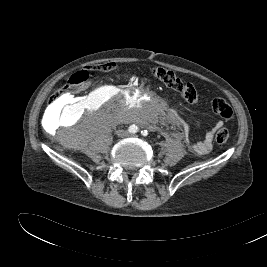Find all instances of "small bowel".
Returning <instances> with one entry per match:
<instances>
[{
	"label": "small bowel",
	"instance_id": "c3829d8e",
	"mask_svg": "<svg viewBox=\"0 0 267 267\" xmlns=\"http://www.w3.org/2000/svg\"><path fill=\"white\" fill-rule=\"evenodd\" d=\"M79 103H71L69 108L73 109L75 108ZM60 112L59 108H53L50 113L52 115H55L56 113ZM222 125V122H217L216 125L214 127H212L205 135L204 139L194 143L192 145V149L201 155H205L207 153L210 152V150L212 149V141H213V137H214V133L216 131L217 128H219Z\"/></svg>",
	"mask_w": 267,
	"mask_h": 267
}]
</instances>
